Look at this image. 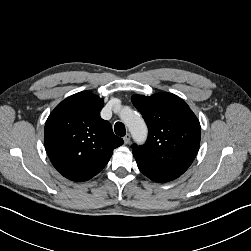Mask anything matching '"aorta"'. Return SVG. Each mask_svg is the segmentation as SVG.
<instances>
[{"label":"aorta","instance_id":"aorta-1","mask_svg":"<svg viewBox=\"0 0 251 251\" xmlns=\"http://www.w3.org/2000/svg\"><path fill=\"white\" fill-rule=\"evenodd\" d=\"M121 119L128 126L131 134L137 140H142L146 137L147 127L140 115L128 107L122 109L120 113Z\"/></svg>","mask_w":251,"mask_h":251}]
</instances>
